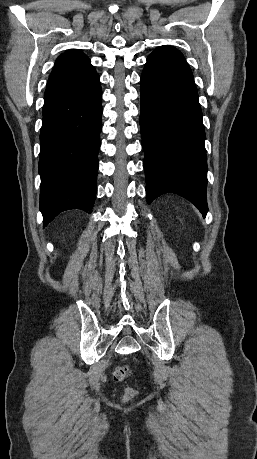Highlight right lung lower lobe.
Segmentation results:
<instances>
[{
    "instance_id": "1",
    "label": "right lung lower lobe",
    "mask_w": 257,
    "mask_h": 459,
    "mask_svg": "<svg viewBox=\"0 0 257 459\" xmlns=\"http://www.w3.org/2000/svg\"><path fill=\"white\" fill-rule=\"evenodd\" d=\"M102 91L99 76L46 88L40 133L43 227L69 209L91 213L96 196Z\"/></svg>"
}]
</instances>
